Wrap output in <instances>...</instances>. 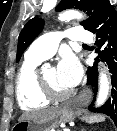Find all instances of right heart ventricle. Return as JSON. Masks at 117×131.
<instances>
[{
  "mask_svg": "<svg viewBox=\"0 0 117 131\" xmlns=\"http://www.w3.org/2000/svg\"><path fill=\"white\" fill-rule=\"evenodd\" d=\"M43 60L25 58L16 78V96L22 110L40 109L49 100L41 91L37 68Z\"/></svg>",
  "mask_w": 117,
  "mask_h": 131,
  "instance_id": "obj_1",
  "label": "right heart ventricle"
}]
</instances>
